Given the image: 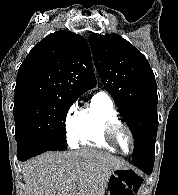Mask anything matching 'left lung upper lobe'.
Listing matches in <instances>:
<instances>
[{"instance_id":"5c2ea615","label":"left lung upper lobe","mask_w":178,"mask_h":195,"mask_svg":"<svg viewBox=\"0 0 178 195\" xmlns=\"http://www.w3.org/2000/svg\"><path fill=\"white\" fill-rule=\"evenodd\" d=\"M89 44L104 87L133 135L132 161L153 156L158 97L155 76L146 57L117 34L94 33Z\"/></svg>"}]
</instances>
